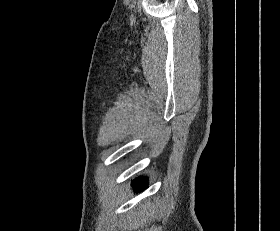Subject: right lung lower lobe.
Returning <instances> with one entry per match:
<instances>
[{"label":"right lung lower lobe","mask_w":280,"mask_h":231,"mask_svg":"<svg viewBox=\"0 0 280 231\" xmlns=\"http://www.w3.org/2000/svg\"><path fill=\"white\" fill-rule=\"evenodd\" d=\"M133 187L136 190H143L147 187V180L146 178L142 177V178H138L136 180L133 181Z\"/></svg>","instance_id":"right-lung-lower-lobe-1"}]
</instances>
